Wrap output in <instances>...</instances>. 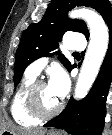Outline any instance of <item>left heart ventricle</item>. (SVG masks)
<instances>
[{
    "instance_id": "b2bd125f",
    "label": "left heart ventricle",
    "mask_w": 112,
    "mask_h": 135,
    "mask_svg": "<svg viewBox=\"0 0 112 135\" xmlns=\"http://www.w3.org/2000/svg\"><path fill=\"white\" fill-rule=\"evenodd\" d=\"M39 104L40 107L44 111H51L55 109L60 103V99H58L53 92L51 91L48 84L42 86L39 90Z\"/></svg>"
}]
</instances>
